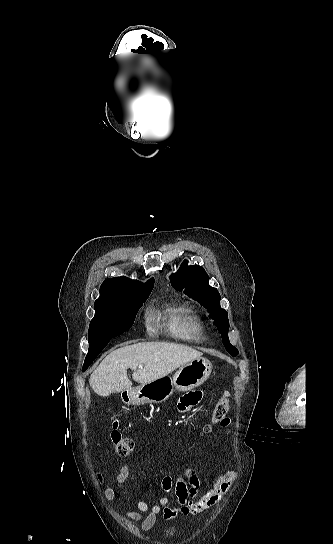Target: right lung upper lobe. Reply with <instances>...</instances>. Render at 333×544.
Listing matches in <instances>:
<instances>
[{
    "mask_svg": "<svg viewBox=\"0 0 333 544\" xmlns=\"http://www.w3.org/2000/svg\"><path fill=\"white\" fill-rule=\"evenodd\" d=\"M154 279L143 284L126 277H115L106 279L100 287V297L97 302L129 298L153 289Z\"/></svg>",
    "mask_w": 333,
    "mask_h": 544,
    "instance_id": "cb5924a9",
    "label": "right lung upper lobe"
}]
</instances>
